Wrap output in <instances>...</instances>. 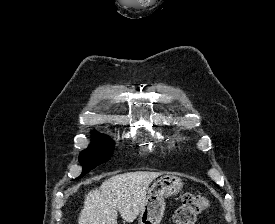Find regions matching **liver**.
Here are the masks:
<instances>
[{"instance_id":"liver-1","label":"liver","mask_w":275,"mask_h":224,"mask_svg":"<svg viewBox=\"0 0 275 224\" xmlns=\"http://www.w3.org/2000/svg\"><path fill=\"white\" fill-rule=\"evenodd\" d=\"M159 172L137 171L112 176L85 195L78 224H117L118 211L128 223L145 206L150 183Z\"/></svg>"}]
</instances>
